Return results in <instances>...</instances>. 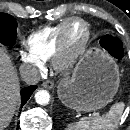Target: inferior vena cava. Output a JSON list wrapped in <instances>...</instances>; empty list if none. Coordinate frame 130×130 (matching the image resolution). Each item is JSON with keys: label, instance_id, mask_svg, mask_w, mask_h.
<instances>
[{"label": "inferior vena cava", "instance_id": "obj_1", "mask_svg": "<svg viewBox=\"0 0 130 130\" xmlns=\"http://www.w3.org/2000/svg\"><path fill=\"white\" fill-rule=\"evenodd\" d=\"M23 80L29 85H35L40 81L38 69L31 64H23L20 68Z\"/></svg>", "mask_w": 130, "mask_h": 130}]
</instances>
